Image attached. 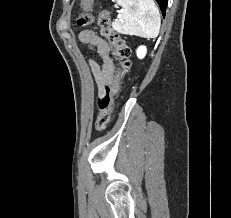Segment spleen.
<instances>
[{
  "mask_svg": "<svg viewBox=\"0 0 231 218\" xmlns=\"http://www.w3.org/2000/svg\"><path fill=\"white\" fill-rule=\"evenodd\" d=\"M122 7L118 19L112 23L121 34L155 38L161 27L158 7L153 0H115Z\"/></svg>",
  "mask_w": 231,
  "mask_h": 218,
  "instance_id": "obj_1",
  "label": "spleen"
}]
</instances>
